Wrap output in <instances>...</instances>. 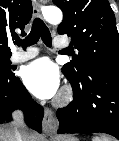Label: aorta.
<instances>
[{
    "label": "aorta",
    "instance_id": "obj_1",
    "mask_svg": "<svg viewBox=\"0 0 119 141\" xmlns=\"http://www.w3.org/2000/svg\"><path fill=\"white\" fill-rule=\"evenodd\" d=\"M44 17L50 24L56 25L62 21L63 15L60 9L56 7H50L46 9Z\"/></svg>",
    "mask_w": 119,
    "mask_h": 141
}]
</instances>
